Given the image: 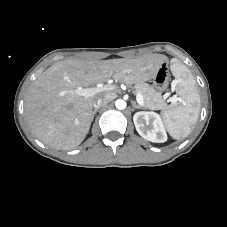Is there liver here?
<instances>
[{"mask_svg": "<svg viewBox=\"0 0 227 227\" xmlns=\"http://www.w3.org/2000/svg\"><path fill=\"white\" fill-rule=\"evenodd\" d=\"M167 57L149 54L135 59H66L50 66L27 89L24 116L29 130L45 145L72 150L80 145L93 121V104L108 92L91 97L80 88L116 81L130 85L151 80Z\"/></svg>", "mask_w": 227, "mask_h": 227, "instance_id": "6515ba94", "label": "liver"}]
</instances>
